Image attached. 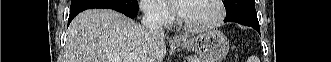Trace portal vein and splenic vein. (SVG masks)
I'll return each instance as SVG.
<instances>
[{"label": "portal vein and splenic vein", "mask_w": 331, "mask_h": 62, "mask_svg": "<svg viewBox=\"0 0 331 62\" xmlns=\"http://www.w3.org/2000/svg\"><path fill=\"white\" fill-rule=\"evenodd\" d=\"M110 62H142L136 52L130 54L109 55Z\"/></svg>", "instance_id": "portal-vein-and-splenic-vein-1"}]
</instances>
